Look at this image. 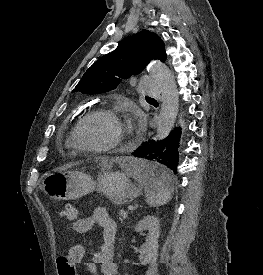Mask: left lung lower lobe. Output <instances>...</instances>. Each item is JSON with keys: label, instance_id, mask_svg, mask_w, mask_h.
<instances>
[{"label": "left lung lower lobe", "instance_id": "left-lung-lower-lobe-1", "mask_svg": "<svg viewBox=\"0 0 263 275\" xmlns=\"http://www.w3.org/2000/svg\"><path fill=\"white\" fill-rule=\"evenodd\" d=\"M180 137L181 128L178 127L161 141L149 139L143 142L131 155L157 164V166H150L151 176L164 181L170 180L172 175L177 173Z\"/></svg>", "mask_w": 263, "mask_h": 275}]
</instances>
